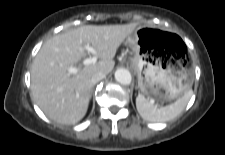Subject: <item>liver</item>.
<instances>
[{"instance_id": "obj_1", "label": "liver", "mask_w": 225, "mask_h": 155, "mask_svg": "<svg viewBox=\"0 0 225 155\" xmlns=\"http://www.w3.org/2000/svg\"><path fill=\"white\" fill-rule=\"evenodd\" d=\"M138 27L125 25H85L47 40L36 55L31 68V92L44 114L58 123L75 124L86 114L96 72L110 73L113 58L124 40ZM86 45L97 51L100 60L79 65L71 74L68 67L86 57Z\"/></svg>"}]
</instances>
